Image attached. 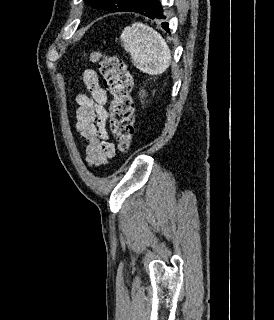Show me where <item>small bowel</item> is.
Masks as SVG:
<instances>
[{
  "label": "small bowel",
  "instance_id": "1",
  "mask_svg": "<svg viewBox=\"0 0 274 320\" xmlns=\"http://www.w3.org/2000/svg\"><path fill=\"white\" fill-rule=\"evenodd\" d=\"M83 82L88 94L76 98L78 108L74 129L81 141H86V162L89 166L104 165L115 156V146L106 129L108 113L105 109L108 96L100 85L97 73L84 70Z\"/></svg>",
  "mask_w": 274,
  "mask_h": 320
}]
</instances>
